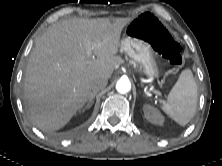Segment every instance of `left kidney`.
Segmentation results:
<instances>
[{"instance_id": "left-kidney-1", "label": "left kidney", "mask_w": 222, "mask_h": 166, "mask_svg": "<svg viewBox=\"0 0 222 166\" xmlns=\"http://www.w3.org/2000/svg\"><path fill=\"white\" fill-rule=\"evenodd\" d=\"M143 111H144V116L145 118L152 124H156V125H163L164 123V117L163 115L160 113L159 110H157L156 108L152 107L151 105H144L143 107Z\"/></svg>"}]
</instances>
